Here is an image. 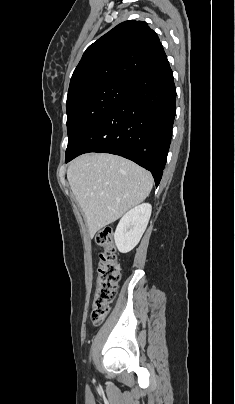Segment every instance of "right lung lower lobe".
I'll use <instances>...</instances> for the list:
<instances>
[{
	"mask_svg": "<svg viewBox=\"0 0 235 404\" xmlns=\"http://www.w3.org/2000/svg\"><path fill=\"white\" fill-rule=\"evenodd\" d=\"M176 89L168 60L125 83L121 99L65 161L87 152L111 153L149 170L159 185L172 137Z\"/></svg>",
	"mask_w": 235,
	"mask_h": 404,
	"instance_id": "right-lung-lower-lobe-1",
	"label": "right lung lower lobe"
}]
</instances>
